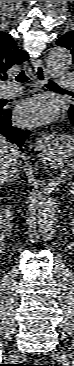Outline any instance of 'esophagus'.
Listing matches in <instances>:
<instances>
[{"label": "esophagus", "mask_w": 74, "mask_h": 366, "mask_svg": "<svg viewBox=\"0 0 74 366\" xmlns=\"http://www.w3.org/2000/svg\"><path fill=\"white\" fill-rule=\"evenodd\" d=\"M32 65L34 68V78L40 86H42L47 79V71L44 62L41 59H33ZM48 147V141L45 135H43L38 141V148L41 151L46 150Z\"/></svg>", "instance_id": "1"}]
</instances>
